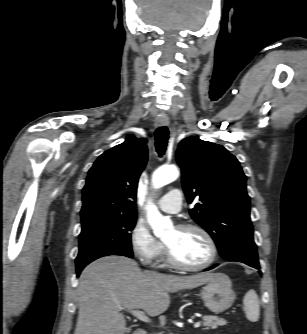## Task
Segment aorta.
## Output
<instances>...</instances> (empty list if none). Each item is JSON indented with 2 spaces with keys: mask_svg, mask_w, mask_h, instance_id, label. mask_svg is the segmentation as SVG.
<instances>
[{
  "mask_svg": "<svg viewBox=\"0 0 307 334\" xmlns=\"http://www.w3.org/2000/svg\"><path fill=\"white\" fill-rule=\"evenodd\" d=\"M178 177L179 171L175 166H162L153 173L152 185L154 188H161L175 181ZM147 219L154 235L157 237H162L173 227L172 221L163 216L151 202L147 206Z\"/></svg>",
  "mask_w": 307,
  "mask_h": 334,
  "instance_id": "aorta-1",
  "label": "aorta"
}]
</instances>
